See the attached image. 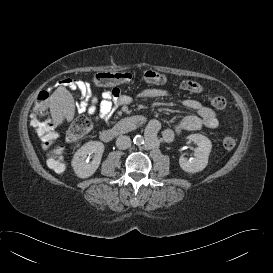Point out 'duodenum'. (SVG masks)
Instances as JSON below:
<instances>
[{"mask_svg":"<svg viewBox=\"0 0 273 273\" xmlns=\"http://www.w3.org/2000/svg\"><path fill=\"white\" fill-rule=\"evenodd\" d=\"M144 118L132 116L124 118L115 123L111 128L103 130L100 133V139L103 142H111L115 138L135 130L139 125L144 123Z\"/></svg>","mask_w":273,"mask_h":273,"instance_id":"1","label":"duodenum"}]
</instances>
